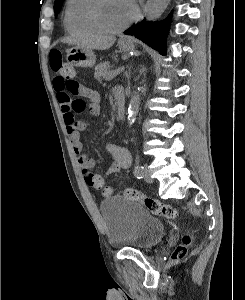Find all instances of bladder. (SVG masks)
<instances>
[{
	"label": "bladder",
	"instance_id": "obj_1",
	"mask_svg": "<svg viewBox=\"0 0 245 300\" xmlns=\"http://www.w3.org/2000/svg\"><path fill=\"white\" fill-rule=\"evenodd\" d=\"M100 211L112 248L149 250L164 235V224L138 202L110 197L102 201Z\"/></svg>",
	"mask_w": 245,
	"mask_h": 300
}]
</instances>
